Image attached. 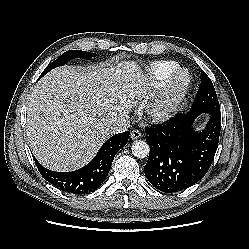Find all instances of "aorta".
Wrapping results in <instances>:
<instances>
[{
    "label": "aorta",
    "mask_w": 249,
    "mask_h": 249,
    "mask_svg": "<svg viewBox=\"0 0 249 249\" xmlns=\"http://www.w3.org/2000/svg\"><path fill=\"white\" fill-rule=\"evenodd\" d=\"M132 154L137 158H146L149 155L150 148L147 142L136 140L131 146Z\"/></svg>",
    "instance_id": "1"
}]
</instances>
